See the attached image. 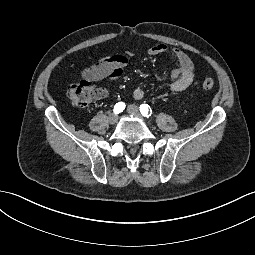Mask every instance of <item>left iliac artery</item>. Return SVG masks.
Here are the masks:
<instances>
[{"mask_svg": "<svg viewBox=\"0 0 255 255\" xmlns=\"http://www.w3.org/2000/svg\"><path fill=\"white\" fill-rule=\"evenodd\" d=\"M140 112L144 117H150L152 114V110L147 104H141L140 105Z\"/></svg>", "mask_w": 255, "mask_h": 255, "instance_id": "obj_1", "label": "left iliac artery"}]
</instances>
